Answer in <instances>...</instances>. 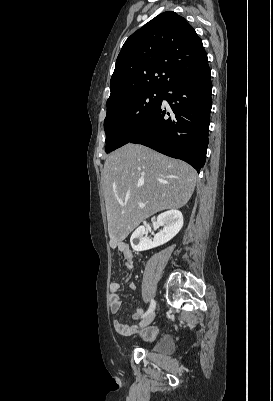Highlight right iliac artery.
I'll return each mask as SVG.
<instances>
[{
    "mask_svg": "<svg viewBox=\"0 0 273 401\" xmlns=\"http://www.w3.org/2000/svg\"><path fill=\"white\" fill-rule=\"evenodd\" d=\"M155 307H156L155 301H154V300H151L150 307H149V309L147 310V312L143 315V317H145V316H147L148 314H150L151 312H153L154 309H155Z\"/></svg>",
    "mask_w": 273,
    "mask_h": 401,
    "instance_id": "82829eb1",
    "label": "right iliac artery"
}]
</instances>
